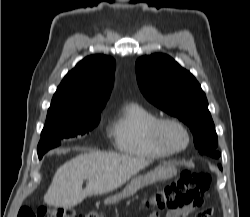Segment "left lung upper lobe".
I'll return each instance as SVG.
<instances>
[{"label": "left lung upper lobe", "mask_w": 250, "mask_h": 217, "mask_svg": "<svg viewBox=\"0 0 250 217\" xmlns=\"http://www.w3.org/2000/svg\"><path fill=\"white\" fill-rule=\"evenodd\" d=\"M139 88L146 99L191 129L200 154L218 158V139L206 95L195 77L165 54L136 62Z\"/></svg>", "instance_id": "obj_1"}]
</instances>
